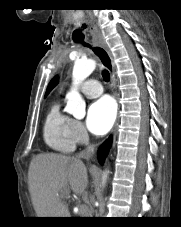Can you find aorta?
Instances as JSON below:
<instances>
[{"mask_svg": "<svg viewBox=\"0 0 181 227\" xmlns=\"http://www.w3.org/2000/svg\"><path fill=\"white\" fill-rule=\"evenodd\" d=\"M95 67L96 62L92 59L75 61L72 73L73 88L66 95V111L75 118H83L86 113L85 101L78 92L77 87L94 71ZM106 177L107 174L104 175V179Z\"/></svg>", "mask_w": 181, "mask_h": 227, "instance_id": "762f6f07", "label": "aorta"}]
</instances>
